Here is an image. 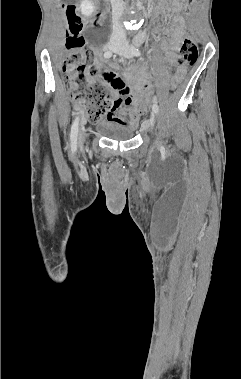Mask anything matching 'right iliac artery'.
Returning <instances> with one entry per match:
<instances>
[{"label":"right iliac artery","instance_id":"obj_1","mask_svg":"<svg viewBox=\"0 0 241 379\" xmlns=\"http://www.w3.org/2000/svg\"><path fill=\"white\" fill-rule=\"evenodd\" d=\"M112 56V52L107 50L104 53L105 58H110ZM78 124H79V117L75 119V121L72 124L71 127V134H70V140H71V145L72 147L76 146L77 143V135H78Z\"/></svg>","mask_w":241,"mask_h":379}]
</instances>
